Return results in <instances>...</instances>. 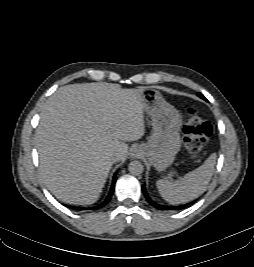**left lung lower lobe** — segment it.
Listing matches in <instances>:
<instances>
[{
	"label": "left lung lower lobe",
	"instance_id": "left-lung-lower-lobe-1",
	"mask_svg": "<svg viewBox=\"0 0 254 267\" xmlns=\"http://www.w3.org/2000/svg\"><path fill=\"white\" fill-rule=\"evenodd\" d=\"M142 192H143V194H144L146 200L148 201V203H150L152 206H154V207L157 208L158 210H181V209H184V208L190 206L191 204H193V202H190V203H188V204L180 205V206H163V205L157 204L156 202H154V201L149 197V195L147 194V191H146L144 185L142 186Z\"/></svg>",
	"mask_w": 254,
	"mask_h": 267
}]
</instances>
